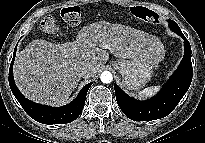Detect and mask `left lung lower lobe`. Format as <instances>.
Segmentation results:
<instances>
[{"label": "left lung lower lobe", "instance_id": "1", "mask_svg": "<svg viewBox=\"0 0 205 143\" xmlns=\"http://www.w3.org/2000/svg\"><path fill=\"white\" fill-rule=\"evenodd\" d=\"M172 31L184 39V58L162 90L153 98L139 101L129 97L114 84L116 100L123 113L134 121L160 119L170 114L185 95L192 81L190 43L176 22L169 20Z\"/></svg>", "mask_w": 205, "mask_h": 143}]
</instances>
